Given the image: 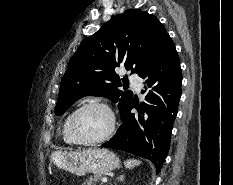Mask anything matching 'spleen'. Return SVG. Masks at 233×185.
Masks as SVG:
<instances>
[{"instance_id":"3e777b00","label":"spleen","mask_w":233,"mask_h":185,"mask_svg":"<svg viewBox=\"0 0 233 185\" xmlns=\"http://www.w3.org/2000/svg\"><path fill=\"white\" fill-rule=\"evenodd\" d=\"M141 164L140 160L130 159L124 162L126 168H134L135 166H139Z\"/></svg>"}]
</instances>
